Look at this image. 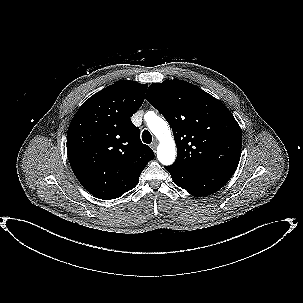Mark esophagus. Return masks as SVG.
<instances>
[{
    "mask_svg": "<svg viewBox=\"0 0 303 303\" xmlns=\"http://www.w3.org/2000/svg\"><path fill=\"white\" fill-rule=\"evenodd\" d=\"M157 145H158V141L157 140H154L151 144V148L155 151L156 148H157Z\"/></svg>",
    "mask_w": 303,
    "mask_h": 303,
    "instance_id": "34e87169",
    "label": "esophagus"
}]
</instances>
